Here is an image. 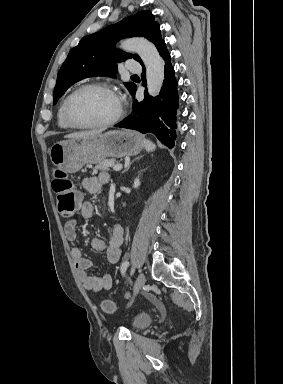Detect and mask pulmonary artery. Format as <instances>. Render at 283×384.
Here are the masks:
<instances>
[{
  "label": "pulmonary artery",
  "instance_id": "1",
  "mask_svg": "<svg viewBox=\"0 0 283 384\" xmlns=\"http://www.w3.org/2000/svg\"><path fill=\"white\" fill-rule=\"evenodd\" d=\"M126 71H133L134 75L140 74L141 66L138 64V61H127Z\"/></svg>",
  "mask_w": 283,
  "mask_h": 384
}]
</instances>
